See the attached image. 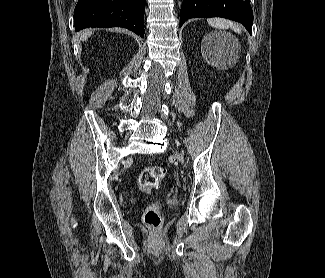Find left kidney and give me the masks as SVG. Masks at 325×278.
<instances>
[{
    "label": "left kidney",
    "mask_w": 325,
    "mask_h": 278,
    "mask_svg": "<svg viewBox=\"0 0 325 278\" xmlns=\"http://www.w3.org/2000/svg\"><path fill=\"white\" fill-rule=\"evenodd\" d=\"M220 47H225V43L223 41H221V40H218L215 43V49H218ZM202 54L205 57V59L207 60V62L211 63V53L209 51H207V50H203Z\"/></svg>",
    "instance_id": "obj_1"
}]
</instances>
